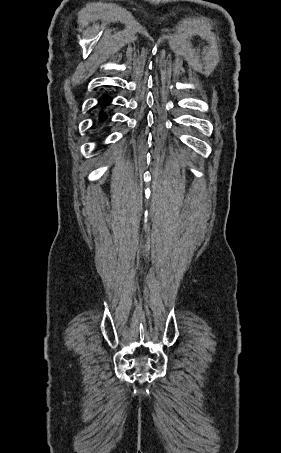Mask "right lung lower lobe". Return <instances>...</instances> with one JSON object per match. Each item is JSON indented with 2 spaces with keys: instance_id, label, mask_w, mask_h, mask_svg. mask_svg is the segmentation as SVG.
I'll use <instances>...</instances> for the list:
<instances>
[{
  "instance_id": "1",
  "label": "right lung lower lobe",
  "mask_w": 281,
  "mask_h": 453,
  "mask_svg": "<svg viewBox=\"0 0 281 453\" xmlns=\"http://www.w3.org/2000/svg\"><path fill=\"white\" fill-rule=\"evenodd\" d=\"M110 101H111V99L106 95L102 96L99 100L100 104H102V105L108 104V103H110ZM106 117L107 116L104 112L100 113V120H104V119H106Z\"/></svg>"
}]
</instances>
